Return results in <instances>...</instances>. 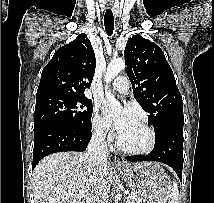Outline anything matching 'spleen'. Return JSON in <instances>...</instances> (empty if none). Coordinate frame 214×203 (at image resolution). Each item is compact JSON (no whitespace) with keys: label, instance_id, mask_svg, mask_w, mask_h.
<instances>
[{"label":"spleen","instance_id":"3e777b00","mask_svg":"<svg viewBox=\"0 0 214 203\" xmlns=\"http://www.w3.org/2000/svg\"><path fill=\"white\" fill-rule=\"evenodd\" d=\"M178 200H179V191H178L177 184L174 182L172 187V192L169 198V203H179Z\"/></svg>","mask_w":214,"mask_h":203}]
</instances>
